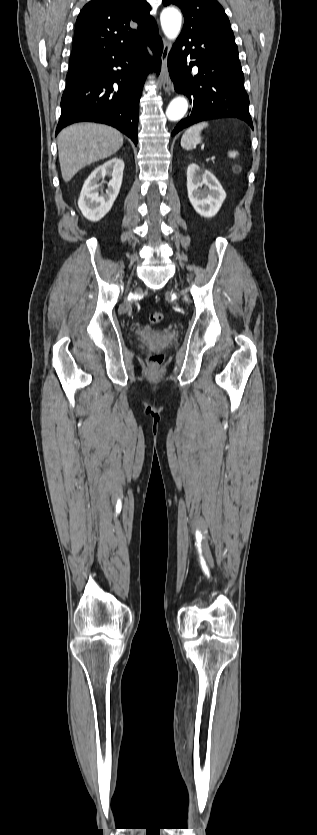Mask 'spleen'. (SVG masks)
<instances>
[{
    "mask_svg": "<svg viewBox=\"0 0 317 835\" xmlns=\"http://www.w3.org/2000/svg\"><path fill=\"white\" fill-rule=\"evenodd\" d=\"M208 126L207 122L197 123L191 127H189L185 133L182 135L181 138V146L185 150H191L197 144L202 142L201 138V131ZM238 156V152L235 150H230L228 152L229 158H236Z\"/></svg>",
    "mask_w": 317,
    "mask_h": 835,
    "instance_id": "1",
    "label": "spleen"
}]
</instances>
